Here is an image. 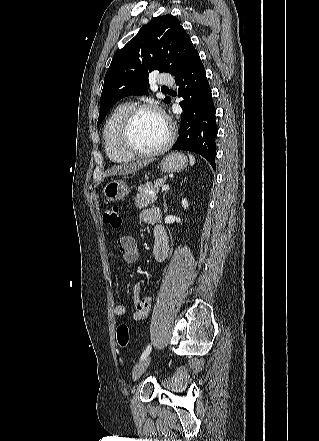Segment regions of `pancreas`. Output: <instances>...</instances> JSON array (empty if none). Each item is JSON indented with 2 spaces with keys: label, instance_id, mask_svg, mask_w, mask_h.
I'll list each match as a JSON object with an SVG mask.
<instances>
[{
  "label": "pancreas",
  "instance_id": "pancreas-1",
  "mask_svg": "<svg viewBox=\"0 0 319 441\" xmlns=\"http://www.w3.org/2000/svg\"><path fill=\"white\" fill-rule=\"evenodd\" d=\"M165 182L166 177L157 179L154 183L147 182L140 185L136 196V207L142 209L153 204L157 200L158 191Z\"/></svg>",
  "mask_w": 319,
  "mask_h": 441
}]
</instances>
